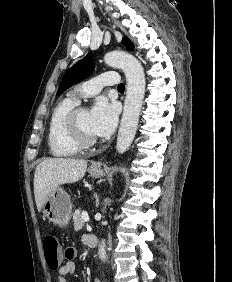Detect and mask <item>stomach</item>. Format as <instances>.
I'll return each instance as SVG.
<instances>
[{
    "mask_svg": "<svg viewBox=\"0 0 232 282\" xmlns=\"http://www.w3.org/2000/svg\"><path fill=\"white\" fill-rule=\"evenodd\" d=\"M89 174L100 178L104 174L102 168H90ZM72 213L70 196L63 188H56L51 192L43 204V215L52 223L64 227L69 223Z\"/></svg>",
    "mask_w": 232,
    "mask_h": 282,
    "instance_id": "obj_1",
    "label": "stomach"
}]
</instances>
